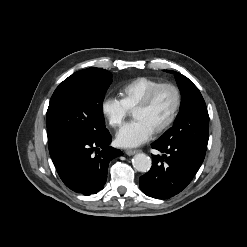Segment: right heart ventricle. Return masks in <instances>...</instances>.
I'll use <instances>...</instances> for the list:
<instances>
[{
	"label": "right heart ventricle",
	"instance_id": "e07e8e85",
	"mask_svg": "<svg viewBox=\"0 0 247 247\" xmlns=\"http://www.w3.org/2000/svg\"><path fill=\"white\" fill-rule=\"evenodd\" d=\"M160 83L157 79L145 76L134 78L121 87V100L128 110H134L146 94Z\"/></svg>",
	"mask_w": 247,
	"mask_h": 247
}]
</instances>
